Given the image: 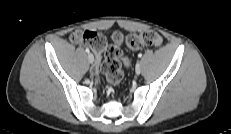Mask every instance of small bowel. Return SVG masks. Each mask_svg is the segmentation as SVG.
<instances>
[{"label":"small bowel","mask_w":231,"mask_h":134,"mask_svg":"<svg viewBox=\"0 0 231 134\" xmlns=\"http://www.w3.org/2000/svg\"><path fill=\"white\" fill-rule=\"evenodd\" d=\"M79 31L74 32L71 36H70V40L74 43H80L77 35H78Z\"/></svg>","instance_id":"c3829d8e"}]
</instances>
